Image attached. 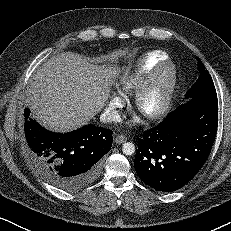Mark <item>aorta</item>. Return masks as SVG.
<instances>
[{
    "mask_svg": "<svg viewBox=\"0 0 231 231\" xmlns=\"http://www.w3.org/2000/svg\"><path fill=\"white\" fill-rule=\"evenodd\" d=\"M122 151L125 155H132L135 152V146L131 142L124 143Z\"/></svg>",
    "mask_w": 231,
    "mask_h": 231,
    "instance_id": "aorta-1",
    "label": "aorta"
}]
</instances>
